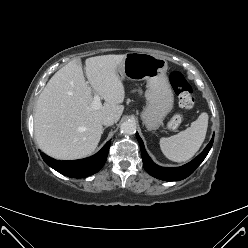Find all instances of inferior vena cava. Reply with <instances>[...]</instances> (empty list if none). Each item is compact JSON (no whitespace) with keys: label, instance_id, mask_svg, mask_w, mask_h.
Listing matches in <instances>:
<instances>
[{"label":"inferior vena cava","instance_id":"602c4592","mask_svg":"<svg viewBox=\"0 0 248 248\" xmlns=\"http://www.w3.org/2000/svg\"><path fill=\"white\" fill-rule=\"evenodd\" d=\"M115 122V119L112 116H104L101 120L102 125L111 126Z\"/></svg>","mask_w":248,"mask_h":248}]
</instances>
